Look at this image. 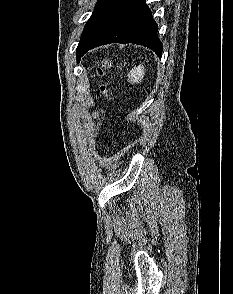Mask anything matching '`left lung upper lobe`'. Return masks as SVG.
Segmentation results:
<instances>
[{
  "label": "left lung upper lobe",
  "instance_id": "obj_1",
  "mask_svg": "<svg viewBox=\"0 0 233 294\" xmlns=\"http://www.w3.org/2000/svg\"><path fill=\"white\" fill-rule=\"evenodd\" d=\"M111 1L112 0H98L97 1V4L95 5V8H94V12L91 15L90 19L87 21V23L83 29L80 42H79L78 47L76 49L77 60H78L79 53L81 51L83 42L86 40V38L90 34L92 28L94 27V25L96 24L98 19L101 17V15L103 14V12L107 8V6L111 3Z\"/></svg>",
  "mask_w": 233,
  "mask_h": 294
}]
</instances>
